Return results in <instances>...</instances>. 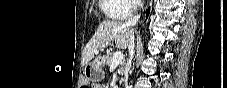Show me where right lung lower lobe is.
Instances as JSON below:
<instances>
[{"label": "right lung lower lobe", "mask_w": 227, "mask_h": 88, "mask_svg": "<svg viewBox=\"0 0 227 88\" xmlns=\"http://www.w3.org/2000/svg\"><path fill=\"white\" fill-rule=\"evenodd\" d=\"M149 11H150V7L148 8V12L146 13L147 16H148Z\"/></svg>", "instance_id": "right-lung-lower-lobe-1"}]
</instances>
